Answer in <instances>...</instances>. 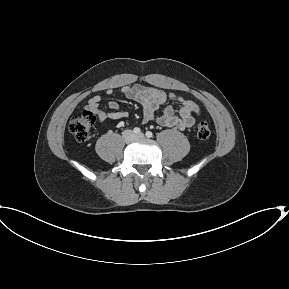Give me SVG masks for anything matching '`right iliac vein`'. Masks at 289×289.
I'll list each match as a JSON object with an SVG mask.
<instances>
[{
  "label": "right iliac vein",
  "instance_id": "63e3f726",
  "mask_svg": "<svg viewBox=\"0 0 289 289\" xmlns=\"http://www.w3.org/2000/svg\"><path fill=\"white\" fill-rule=\"evenodd\" d=\"M123 137L126 142H131L134 139V135L130 130L125 131Z\"/></svg>",
  "mask_w": 289,
  "mask_h": 289
}]
</instances>
